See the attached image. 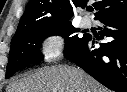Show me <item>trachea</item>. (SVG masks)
I'll return each mask as SVG.
<instances>
[{
  "mask_svg": "<svg viewBox=\"0 0 127 92\" xmlns=\"http://www.w3.org/2000/svg\"><path fill=\"white\" fill-rule=\"evenodd\" d=\"M87 10L91 12V11H93V8L90 7V8H87Z\"/></svg>",
  "mask_w": 127,
  "mask_h": 92,
  "instance_id": "3493384b",
  "label": "trachea"
}]
</instances>
